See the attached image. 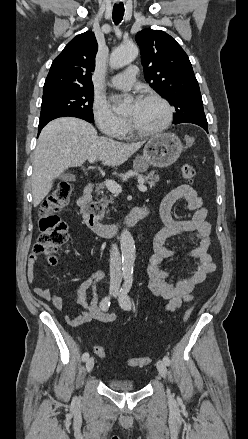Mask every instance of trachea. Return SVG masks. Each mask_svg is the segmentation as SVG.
Masks as SVG:
<instances>
[{
  "label": "trachea",
  "instance_id": "obj_1",
  "mask_svg": "<svg viewBox=\"0 0 248 439\" xmlns=\"http://www.w3.org/2000/svg\"><path fill=\"white\" fill-rule=\"evenodd\" d=\"M124 16V6L123 5H114L113 7V21L116 25H118Z\"/></svg>",
  "mask_w": 248,
  "mask_h": 439
}]
</instances>
